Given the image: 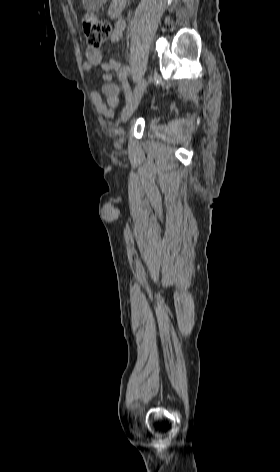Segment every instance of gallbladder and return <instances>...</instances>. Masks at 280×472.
I'll return each instance as SVG.
<instances>
[{
  "instance_id": "gallbladder-1",
  "label": "gallbladder",
  "mask_w": 280,
  "mask_h": 472,
  "mask_svg": "<svg viewBox=\"0 0 280 472\" xmlns=\"http://www.w3.org/2000/svg\"><path fill=\"white\" fill-rule=\"evenodd\" d=\"M106 0H82L83 8L90 12H98Z\"/></svg>"
}]
</instances>
